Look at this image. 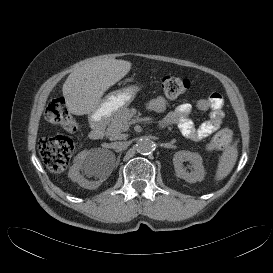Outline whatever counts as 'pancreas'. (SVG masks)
<instances>
[{"label":"pancreas","instance_id":"obj_1","mask_svg":"<svg viewBox=\"0 0 273 273\" xmlns=\"http://www.w3.org/2000/svg\"><path fill=\"white\" fill-rule=\"evenodd\" d=\"M137 110L135 108H124L120 110L114 117L111 119L106 130V137L110 140H121L127 137L123 132L127 131L129 127V120L136 115Z\"/></svg>","mask_w":273,"mask_h":273}]
</instances>
